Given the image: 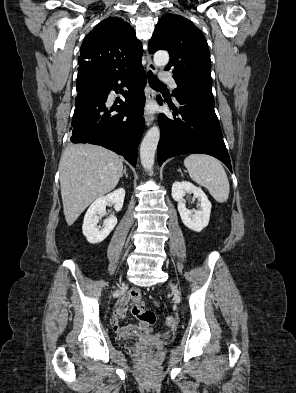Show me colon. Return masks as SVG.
Masks as SVG:
<instances>
[{
	"mask_svg": "<svg viewBox=\"0 0 296 393\" xmlns=\"http://www.w3.org/2000/svg\"><path fill=\"white\" fill-rule=\"evenodd\" d=\"M132 313L141 321L147 325H154L156 323V315L153 311L147 310L145 308L144 302L141 299H134L130 301ZM174 318H167L165 324L168 327H173L175 325ZM150 353H146L149 356Z\"/></svg>",
	"mask_w": 296,
	"mask_h": 393,
	"instance_id": "1",
	"label": "colon"
}]
</instances>
